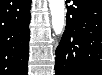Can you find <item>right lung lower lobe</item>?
Here are the masks:
<instances>
[{
    "instance_id": "right-lung-lower-lobe-1",
    "label": "right lung lower lobe",
    "mask_w": 102,
    "mask_h": 75,
    "mask_svg": "<svg viewBox=\"0 0 102 75\" xmlns=\"http://www.w3.org/2000/svg\"><path fill=\"white\" fill-rule=\"evenodd\" d=\"M31 0L0 1V74L27 75Z\"/></svg>"
}]
</instances>
